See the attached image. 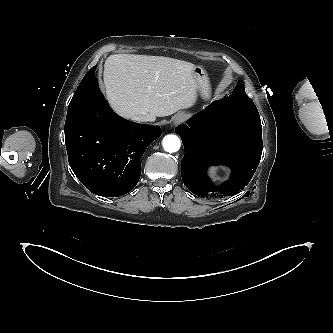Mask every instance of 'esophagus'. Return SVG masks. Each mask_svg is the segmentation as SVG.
I'll return each mask as SVG.
<instances>
[{
  "label": "esophagus",
  "mask_w": 333,
  "mask_h": 333,
  "mask_svg": "<svg viewBox=\"0 0 333 333\" xmlns=\"http://www.w3.org/2000/svg\"><path fill=\"white\" fill-rule=\"evenodd\" d=\"M184 120H185V115L184 114H178L174 118L173 125L177 126V125L181 124Z\"/></svg>",
  "instance_id": "esophagus-1"
}]
</instances>
